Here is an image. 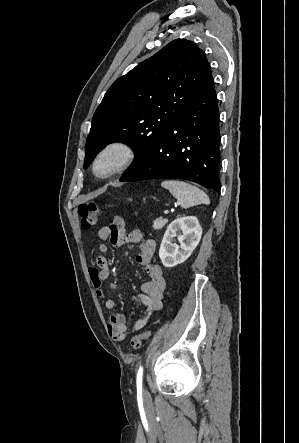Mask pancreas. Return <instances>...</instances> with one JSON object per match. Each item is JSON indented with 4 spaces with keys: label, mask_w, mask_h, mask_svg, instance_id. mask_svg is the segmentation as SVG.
I'll use <instances>...</instances> for the list:
<instances>
[{
    "label": "pancreas",
    "mask_w": 299,
    "mask_h": 443,
    "mask_svg": "<svg viewBox=\"0 0 299 443\" xmlns=\"http://www.w3.org/2000/svg\"><path fill=\"white\" fill-rule=\"evenodd\" d=\"M167 222V219L157 218L156 220H154L152 227L154 230H160L167 224Z\"/></svg>",
    "instance_id": "obj_1"
}]
</instances>
